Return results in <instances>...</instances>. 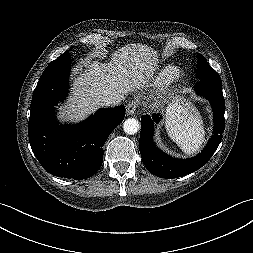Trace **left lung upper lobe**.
Returning <instances> with one entry per match:
<instances>
[{
    "instance_id": "obj_1",
    "label": "left lung upper lobe",
    "mask_w": 253,
    "mask_h": 253,
    "mask_svg": "<svg viewBox=\"0 0 253 253\" xmlns=\"http://www.w3.org/2000/svg\"><path fill=\"white\" fill-rule=\"evenodd\" d=\"M196 75L200 79H208L215 82H221L218 73L209 65L205 57L201 54L198 55Z\"/></svg>"
}]
</instances>
